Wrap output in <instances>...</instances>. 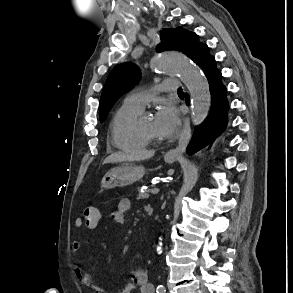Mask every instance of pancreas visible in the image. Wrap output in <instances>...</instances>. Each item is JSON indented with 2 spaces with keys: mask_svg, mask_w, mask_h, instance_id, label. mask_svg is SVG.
Segmentation results:
<instances>
[{
  "mask_svg": "<svg viewBox=\"0 0 293 293\" xmlns=\"http://www.w3.org/2000/svg\"><path fill=\"white\" fill-rule=\"evenodd\" d=\"M151 190H146V191H144V192H139L138 193V199H147V198H149V192H150Z\"/></svg>",
  "mask_w": 293,
  "mask_h": 293,
  "instance_id": "pancreas-1",
  "label": "pancreas"
}]
</instances>
